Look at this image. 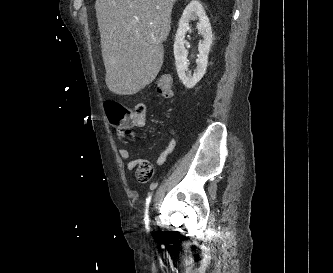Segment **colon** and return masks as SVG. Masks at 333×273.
<instances>
[{"label": "colon", "mask_w": 333, "mask_h": 273, "mask_svg": "<svg viewBox=\"0 0 333 273\" xmlns=\"http://www.w3.org/2000/svg\"><path fill=\"white\" fill-rule=\"evenodd\" d=\"M157 92L163 97L173 93V79L170 74L159 76L156 82ZM105 110L110 124L120 136H131L132 129L137 127L136 117L132 110L116 101H106ZM136 178L139 182H148L153 175V166L148 160H139L136 166Z\"/></svg>", "instance_id": "5ec220e1"}]
</instances>
